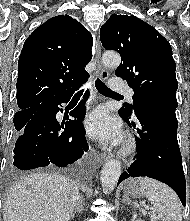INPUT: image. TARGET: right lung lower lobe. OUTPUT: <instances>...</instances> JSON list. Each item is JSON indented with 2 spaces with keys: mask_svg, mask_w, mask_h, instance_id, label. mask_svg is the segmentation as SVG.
<instances>
[{
  "mask_svg": "<svg viewBox=\"0 0 190 221\" xmlns=\"http://www.w3.org/2000/svg\"><path fill=\"white\" fill-rule=\"evenodd\" d=\"M74 92L60 94L42 102L31 119L25 124L16 140L10 165L20 170H29L48 165L66 167L88 151L82 125L86 108L82 101L70 115L69 120L59 125L56 114L58 105L68 102ZM89 91L85 94V100ZM64 129V131H62Z\"/></svg>",
  "mask_w": 190,
  "mask_h": 221,
  "instance_id": "1",
  "label": "right lung lower lobe"
}]
</instances>
